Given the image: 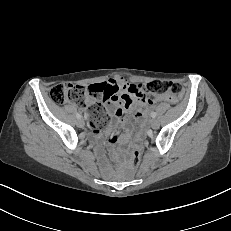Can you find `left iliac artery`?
<instances>
[{
  "instance_id": "44dca946",
  "label": "left iliac artery",
  "mask_w": 231,
  "mask_h": 231,
  "mask_svg": "<svg viewBox=\"0 0 231 231\" xmlns=\"http://www.w3.org/2000/svg\"><path fill=\"white\" fill-rule=\"evenodd\" d=\"M156 116H157V114H156L155 112H152V113H151V117H152V118H155Z\"/></svg>"
}]
</instances>
